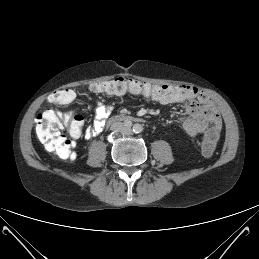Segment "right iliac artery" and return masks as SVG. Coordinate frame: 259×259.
Returning <instances> with one entry per match:
<instances>
[{
    "label": "right iliac artery",
    "instance_id": "82829eb1",
    "mask_svg": "<svg viewBox=\"0 0 259 259\" xmlns=\"http://www.w3.org/2000/svg\"><path fill=\"white\" fill-rule=\"evenodd\" d=\"M125 126L128 127V128H130V127L132 126V122H127V123L125 124Z\"/></svg>",
    "mask_w": 259,
    "mask_h": 259
}]
</instances>
